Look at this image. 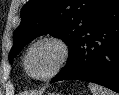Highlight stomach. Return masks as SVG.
<instances>
[{"label": "stomach", "instance_id": "1", "mask_svg": "<svg viewBox=\"0 0 119 95\" xmlns=\"http://www.w3.org/2000/svg\"><path fill=\"white\" fill-rule=\"evenodd\" d=\"M48 95H59V94H54V93H52V94H48Z\"/></svg>", "mask_w": 119, "mask_h": 95}]
</instances>
